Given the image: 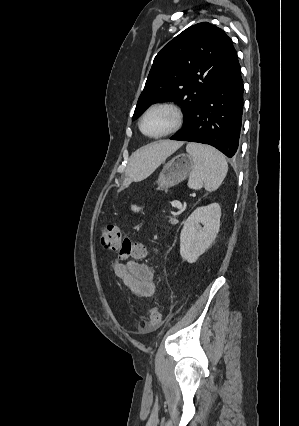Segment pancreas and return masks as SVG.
I'll use <instances>...</instances> for the list:
<instances>
[{"label": "pancreas", "mask_w": 299, "mask_h": 426, "mask_svg": "<svg viewBox=\"0 0 299 426\" xmlns=\"http://www.w3.org/2000/svg\"><path fill=\"white\" fill-rule=\"evenodd\" d=\"M171 223H175V220H172V219H171Z\"/></svg>", "instance_id": "pancreas-1"}]
</instances>
